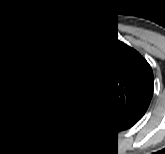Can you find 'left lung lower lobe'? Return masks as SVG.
I'll return each mask as SVG.
<instances>
[{"instance_id": "left-lung-lower-lobe-1", "label": "left lung lower lobe", "mask_w": 165, "mask_h": 154, "mask_svg": "<svg viewBox=\"0 0 165 154\" xmlns=\"http://www.w3.org/2000/svg\"><path fill=\"white\" fill-rule=\"evenodd\" d=\"M96 117L102 127L117 133L118 131H123L132 127L138 121L136 118L118 116L109 113L106 110L104 112L98 113Z\"/></svg>"}]
</instances>
